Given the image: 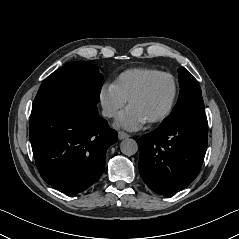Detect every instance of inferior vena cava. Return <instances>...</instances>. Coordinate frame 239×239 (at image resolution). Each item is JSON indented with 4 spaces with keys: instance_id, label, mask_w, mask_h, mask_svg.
Instances as JSON below:
<instances>
[{
    "instance_id": "obj_1",
    "label": "inferior vena cava",
    "mask_w": 239,
    "mask_h": 239,
    "mask_svg": "<svg viewBox=\"0 0 239 239\" xmlns=\"http://www.w3.org/2000/svg\"><path fill=\"white\" fill-rule=\"evenodd\" d=\"M102 115L104 117L111 118V117H113L115 115V110L112 109V108H109V107L103 108Z\"/></svg>"
}]
</instances>
